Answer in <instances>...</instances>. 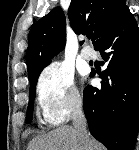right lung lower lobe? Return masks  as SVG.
Returning a JSON list of instances; mask_svg holds the SVG:
<instances>
[{
    "label": "right lung lower lobe",
    "instance_id": "obj_1",
    "mask_svg": "<svg viewBox=\"0 0 139 150\" xmlns=\"http://www.w3.org/2000/svg\"><path fill=\"white\" fill-rule=\"evenodd\" d=\"M95 50L107 69L100 89H84L90 133L108 150H133L139 128V28L129 9Z\"/></svg>",
    "mask_w": 139,
    "mask_h": 150
}]
</instances>
